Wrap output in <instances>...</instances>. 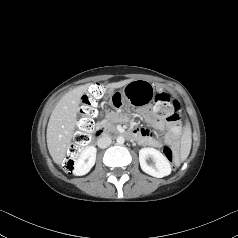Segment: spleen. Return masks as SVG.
Returning <instances> with one entry per match:
<instances>
[{
    "label": "spleen",
    "instance_id": "3e777b00",
    "mask_svg": "<svg viewBox=\"0 0 238 238\" xmlns=\"http://www.w3.org/2000/svg\"><path fill=\"white\" fill-rule=\"evenodd\" d=\"M190 148H191V129H190V126L187 125L186 131L184 134L183 147L181 152L182 161H184L187 158Z\"/></svg>",
    "mask_w": 238,
    "mask_h": 238
}]
</instances>
